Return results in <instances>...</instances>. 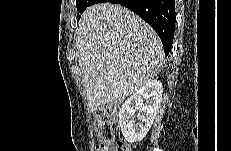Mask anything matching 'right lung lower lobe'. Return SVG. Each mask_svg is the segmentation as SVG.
Listing matches in <instances>:
<instances>
[{"instance_id": "1", "label": "right lung lower lobe", "mask_w": 231, "mask_h": 151, "mask_svg": "<svg viewBox=\"0 0 231 151\" xmlns=\"http://www.w3.org/2000/svg\"><path fill=\"white\" fill-rule=\"evenodd\" d=\"M120 4L139 15L159 35L165 56L173 43L175 32V0H92L91 3Z\"/></svg>"}]
</instances>
